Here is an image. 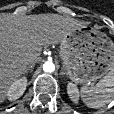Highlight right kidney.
Wrapping results in <instances>:
<instances>
[{
    "label": "right kidney",
    "instance_id": "obj_1",
    "mask_svg": "<svg viewBox=\"0 0 114 114\" xmlns=\"http://www.w3.org/2000/svg\"><path fill=\"white\" fill-rule=\"evenodd\" d=\"M27 78L22 77L14 81L7 91V98L10 101H14L20 98L26 90Z\"/></svg>",
    "mask_w": 114,
    "mask_h": 114
}]
</instances>
